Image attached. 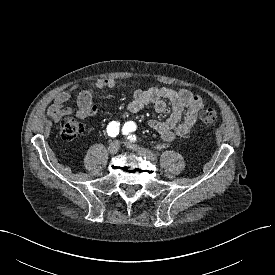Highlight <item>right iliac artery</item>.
I'll list each match as a JSON object with an SVG mask.
<instances>
[{
  "mask_svg": "<svg viewBox=\"0 0 275 275\" xmlns=\"http://www.w3.org/2000/svg\"><path fill=\"white\" fill-rule=\"evenodd\" d=\"M120 123L118 121H112L107 126V133L110 137H116L119 134Z\"/></svg>",
  "mask_w": 275,
  "mask_h": 275,
  "instance_id": "obj_1",
  "label": "right iliac artery"
}]
</instances>
